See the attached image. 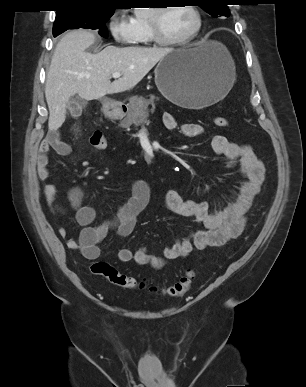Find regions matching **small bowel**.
I'll use <instances>...</instances> for the list:
<instances>
[{
    "mask_svg": "<svg viewBox=\"0 0 306 387\" xmlns=\"http://www.w3.org/2000/svg\"><path fill=\"white\" fill-rule=\"evenodd\" d=\"M162 120L168 130L178 131L184 137L191 138L204 132L203 126L198 123L179 125L171 113H164ZM211 147L216 155L225 157L228 167L237 166L243 177L239 190L233 195L231 202L218 210L211 211L208 201L185 200L178 191L168 190L165 194L167 208L177 215L191 219L201 228H193L185 236L178 237L172 246L162 250L161 255L151 254L143 246L136 250L120 249L117 255L120 262L134 261L141 266L148 265L154 269H160L169 260L186 257L195 249L204 250L223 245L242 233L246 214L260 193L264 181V165L251 146L231 142L225 136H213ZM51 150L62 156L71 153L70 145L60 138L57 131L49 133L42 141L36 159L37 175L41 181H47L50 177L48 163ZM150 193L147 182L142 180L135 182L130 198L119 204L115 217L112 220L105 219L94 224L95 209L83 205L82 189L79 186L73 187L69 191L68 198L75 212V219L82 226V230L77 238L67 240L68 248L80 250L88 260L98 259L101 245L111 232L122 238L133 232L138 215L148 204ZM55 195V186L47 184L44 187L46 201L51 210L59 211L60 206L55 202ZM58 233L61 237L68 235L67 229L62 225L58 226Z\"/></svg>",
    "mask_w": 306,
    "mask_h": 387,
    "instance_id": "small-bowel-1",
    "label": "small bowel"
}]
</instances>
